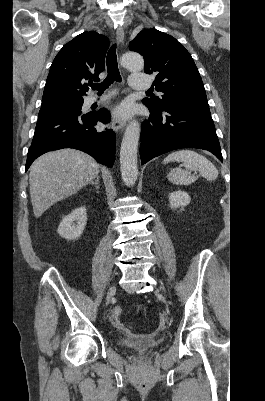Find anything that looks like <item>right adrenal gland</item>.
<instances>
[{
  "mask_svg": "<svg viewBox=\"0 0 265 401\" xmlns=\"http://www.w3.org/2000/svg\"><path fill=\"white\" fill-rule=\"evenodd\" d=\"M100 176H96L95 180H91L90 184H95V188H100Z\"/></svg>",
  "mask_w": 265,
  "mask_h": 401,
  "instance_id": "1",
  "label": "right adrenal gland"
}]
</instances>
